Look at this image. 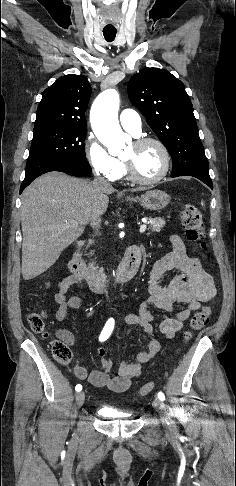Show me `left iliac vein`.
Returning a JSON list of instances; mask_svg holds the SVG:
<instances>
[{"mask_svg":"<svg viewBox=\"0 0 236 486\" xmlns=\"http://www.w3.org/2000/svg\"><path fill=\"white\" fill-rule=\"evenodd\" d=\"M153 406L160 412L163 414V417H162V422H163V425L165 426L166 428V431L168 433H173L174 432V424L173 422L171 421V419L169 418V416L167 415V408L165 406V404L159 400V399H154L153 402H152Z\"/></svg>","mask_w":236,"mask_h":486,"instance_id":"left-iliac-vein-1","label":"left iliac vein"}]
</instances>
